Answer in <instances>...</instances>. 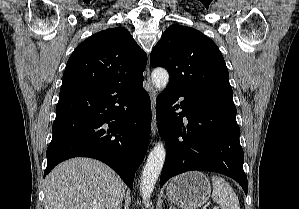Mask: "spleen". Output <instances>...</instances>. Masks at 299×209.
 Masks as SVG:
<instances>
[{
  "mask_svg": "<svg viewBox=\"0 0 299 209\" xmlns=\"http://www.w3.org/2000/svg\"><path fill=\"white\" fill-rule=\"evenodd\" d=\"M212 182V198L222 209H240L238 197L225 179L212 176Z\"/></svg>",
  "mask_w": 299,
  "mask_h": 209,
  "instance_id": "1",
  "label": "spleen"
}]
</instances>
